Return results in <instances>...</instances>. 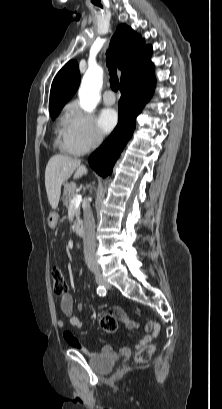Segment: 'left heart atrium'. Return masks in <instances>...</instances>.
I'll return each instance as SVG.
<instances>
[{
	"label": "left heart atrium",
	"mask_w": 222,
	"mask_h": 409,
	"mask_svg": "<svg viewBox=\"0 0 222 409\" xmlns=\"http://www.w3.org/2000/svg\"><path fill=\"white\" fill-rule=\"evenodd\" d=\"M118 121L117 112L112 108L101 111L98 117V125L103 133H109L116 126Z\"/></svg>",
	"instance_id": "1"
}]
</instances>
